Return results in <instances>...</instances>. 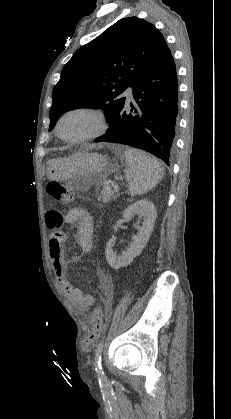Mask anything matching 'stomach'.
<instances>
[{
  "mask_svg": "<svg viewBox=\"0 0 231 419\" xmlns=\"http://www.w3.org/2000/svg\"><path fill=\"white\" fill-rule=\"evenodd\" d=\"M112 170L109 159L98 153L78 152L58 158L47 164L46 175L50 180L72 182L83 190L106 178Z\"/></svg>",
  "mask_w": 231,
  "mask_h": 419,
  "instance_id": "1",
  "label": "stomach"
}]
</instances>
